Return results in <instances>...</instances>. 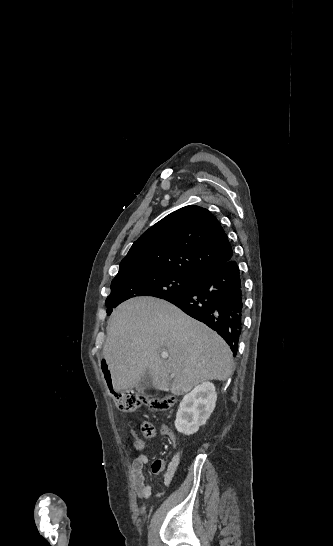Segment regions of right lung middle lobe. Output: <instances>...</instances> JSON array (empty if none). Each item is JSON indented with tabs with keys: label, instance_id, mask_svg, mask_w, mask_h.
<instances>
[{
	"label": "right lung middle lobe",
	"instance_id": "dd1d6c3e",
	"mask_svg": "<svg viewBox=\"0 0 333 546\" xmlns=\"http://www.w3.org/2000/svg\"><path fill=\"white\" fill-rule=\"evenodd\" d=\"M199 277L181 275L174 272H142L139 269L119 270L111 282V293L106 299L107 307H117L120 303L136 296H153L164 299L187 292L198 282ZM112 308L107 310L110 315Z\"/></svg>",
	"mask_w": 333,
	"mask_h": 546
}]
</instances>
